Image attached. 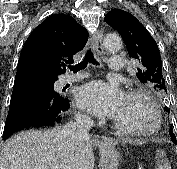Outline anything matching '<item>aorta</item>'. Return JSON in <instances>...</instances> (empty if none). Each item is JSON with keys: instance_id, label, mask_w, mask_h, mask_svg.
<instances>
[{"instance_id": "1", "label": "aorta", "mask_w": 177, "mask_h": 169, "mask_svg": "<svg viewBox=\"0 0 177 169\" xmlns=\"http://www.w3.org/2000/svg\"><path fill=\"white\" fill-rule=\"evenodd\" d=\"M104 45L107 50H115L120 47L121 39L118 35H107L104 39Z\"/></svg>"}]
</instances>
